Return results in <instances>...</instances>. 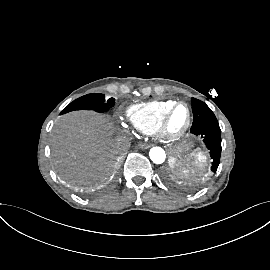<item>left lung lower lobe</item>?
<instances>
[{"instance_id": "0a47b994", "label": "left lung lower lobe", "mask_w": 270, "mask_h": 270, "mask_svg": "<svg viewBox=\"0 0 270 270\" xmlns=\"http://www.w3.org/2000/svg\"><path fill=\"white\" fill-rule=\"evenodd\" d=\"M191 132L203 139L212 160L211 171L216 172L221 156V130L218 123H206L196 128H191ZM165 179L171 182V177L166 174Z\"/></svg>"}]
</instances>
